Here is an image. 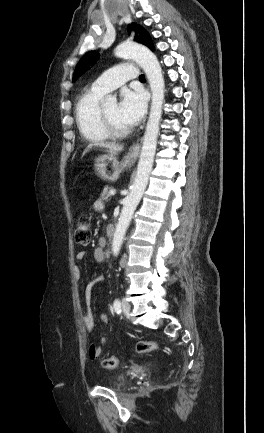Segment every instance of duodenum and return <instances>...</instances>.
<instances>
[{
	"label": "duodenum",
	"mask_w": 264,
	"mask_h": 433,
	"mask_svg": "<svg viewBox=\"0 0 264 433\" xmlns=\"http://www.w3.org/2000/svg\"><path fill=\"white\" fill-rule=\"evenodd\" d=\"M107 234H108V236H110V237H112V236L114 235V227H113V226H109V227L107 228ZM107 253H108L107 249H105V248H100V249H99V259H100V260H104V259L106 258V256H107Z\"/></svg>",
	"instance_id": "duodenum-1"
}]
</instances>
